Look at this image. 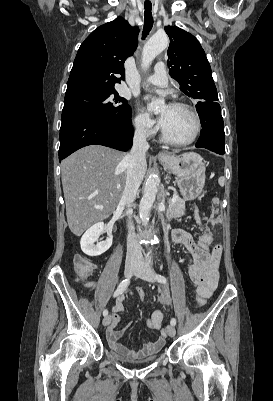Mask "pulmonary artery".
<instances>
[{
    "label": "pulmonary artery",
    "instance_id": "obj_1",
    "mask_svg": "<svg viewBox=\"0 0 273 401\" xmlns=\"http://www.w3.org/2000/svg\"><path fill=\"white\" fill-rule=\"evenodd\" d=\"M154 74L151 75L150 80L153 83H158L160 88L167 86L168 76L165 74L166 66L163 63H156L154 66Z\"/></svg>",
    "mask_w": 273,
    "mask_h": 401
}]
</instances>
